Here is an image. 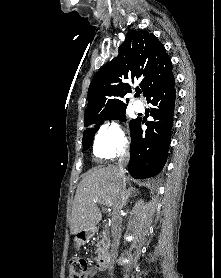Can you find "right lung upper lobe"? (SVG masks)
<instances>
[{
    "mask_svg": "<svg viewBox=\"0 0 221 278\" xmlns=\"http://www.w3.org/2000/svg\"><path fill=\"white\" fill-rule=\"evenodd\" d=\"M171 70L172 63L164 45L153 34L145 30L129 31L119 47L118 57L103 66L92 79L85 124L126 109L120 98L131 92L132 84L139 82L145 96Z\"/></svg>",
    "mask_w": 221,
    "mask_h": 278,
    "instance_id": "right-lung-upper-lobe-1",
    "label": "right lung upper lobe"
}]
</instances>
